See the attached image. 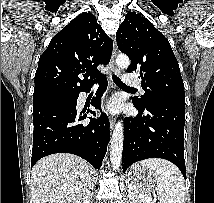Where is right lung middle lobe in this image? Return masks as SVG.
<instances>
[{
  "label": "right lung middle lobe",
  "mask_w": 214,
  "mask_h": 203,
  "mask_svg": "<svg viewBox=\"0 0 214 203\" xmlns=\"http://www.w3.org/2000/svg\"><path fill=\"white\" fill-rule=\"evenodd\" d=\"M64 94H61V95H54V96H49V97H41V98H35L33 99V108L34 107H37V106H40L46 102H49L53 99H56L58 97H61L63 96Z\"/></svg>",
  "instance_id": "obj_1"
}]
</instances>
